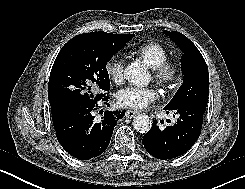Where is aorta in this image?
Segmentation results:
<instances>
[{
	"label": "aorta",
	"mask_w": 245,
	"mask_h": 189,
	"mask_svg": "<svg viewBox=\"0 0 245 189\" xmlns=\"http://www.w3.org/2000/svg\"><path fill=\"white\" fill-rule=\"evenodd\" d=\"M125 78L137 86L144 87L150 83V74L145 66L133 62L125 68ZM151 120L147 115H137L133 119V127L137 132L147 133L151 128Z\"/></svg>",
	"instance_id": "aorta-1"
}]
</instances>
